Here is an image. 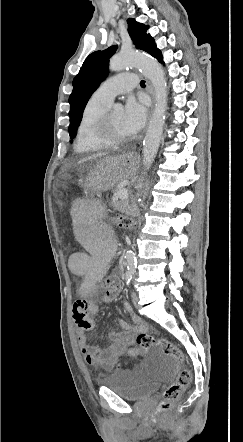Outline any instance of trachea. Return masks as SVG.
I'll list each match as a JSON object with an SVG mask.
<instances>
[{
	"label": "trachea",
	"mask_w": 243,
	"mask_h": 442,
	"mask_svg": "<svg viewBox=\"0 0 243 442\" xmlns=\"http://www.w3.org/2000/svg\"><path fill=\"white\" fill-rule=\"evenodd\" d=\"M140 86H141V87H145V81H144V80H142V81L140 82Z\"/></svg>",
	"instance_id": "trachea-1"
}]
</instances>
